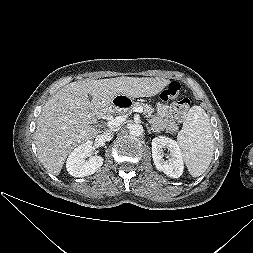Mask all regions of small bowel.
I'll return each mask as SVG.
<instances>
[{
	"mask_svg": "<svg viewBox=\"0 0 253 253\" xmlns=\"http://www.w3.org/2000/svg\"><path fill=\"white\" fill-rule=\"evenodd\" d=\"M182 120L176 114L175 103L171 105L164 103L157 104V114L153 118V121L158 129H166L171 133H175L178 130L177 122H181Z\"/></svg>",
	"mask_w": 253,
	"mask_h": 253,
	"instance_id": "c3829d8e",
	"label": "small bowel"
}]
</instances>
